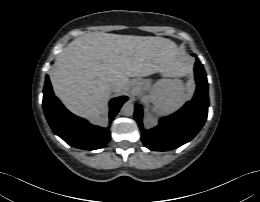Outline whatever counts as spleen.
Listing matches in <instances>:
<instances>
[{
	"instance_id": "3e777b00",
	"label": "spleen",
	"mask_w": 260,
	"mask_h": 202,
	"mask_svg": "<svg viewBox=\"0 0 260 202\" xmlns=\"http://www.w3.org/2000/svg\"><path fill=\"white\" fill-rule=\"evenodd\" d=\"M153 111L159 115L170 114L178 110L191 99L183 82L179 79H167L158 84L151 96Z\"/></svg>"
}]
</instances>
